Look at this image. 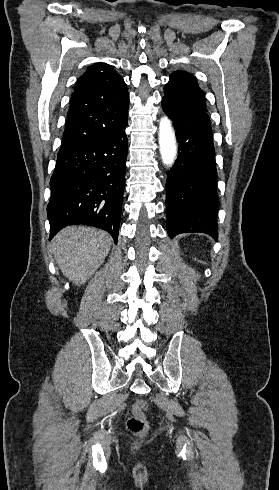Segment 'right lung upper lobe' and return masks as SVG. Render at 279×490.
Segmentation results:
<instances>
[{
    "label": "right lung upper lobe",
    "mask_w": 279,
    "mask_h": 490,
    "mask_svg": "<svg viewBox=\"0 0 279 490\" xmlns=\"http://www.w3.org/2000/svg\"><path fill=\"white\" fill-rule=\"evenodd\" d=\"M129 95L111 66L97 63L79 77L59 152L102 138L127 123Z\"/></svg>",
    "instance_id": "obj_1"
}]
</instances>
